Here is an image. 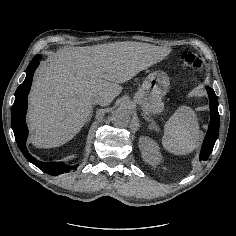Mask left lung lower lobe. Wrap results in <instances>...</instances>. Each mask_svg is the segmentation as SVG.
<instances>
[{"instance_id": "obj_1", "label": "left lung lower lobe", "mask_w": 236, "mask_h": 236, "mask_svg": "<svg viewBox=\"0 0 236 236\" xmlns=\"http://www.w3.org/2000/svg\"><path fill=\"white\" fill-rule=\"evenodd\" d=\"M208 95H209V105L211 111V120L209 123L208 131L205 136L201 153H200V160H207L210 153L213 150L214 144L218 138L219 134V122L220 117L218 113V101L217 96L214 90L210 87H206Z\"/></svg>"}]
</instances>
